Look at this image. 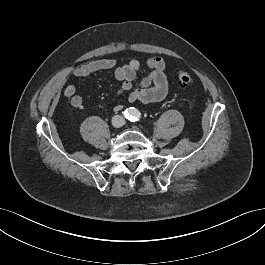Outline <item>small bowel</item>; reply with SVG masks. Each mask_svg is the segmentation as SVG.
<instances>
[{"instance_id":"1","label":"small bowel","mask_w":265,"mask_h":265,"mask_svg":"<svg viewBox=\"0 0 265 265\" xmlns=\"http://www.w3.org/2000/svg\"><path fill=\"white\" fill-rule=\"evenodd\" d=\"M144 66L150 70V73L137 86L134 85V81L138 72L142 69V64L135 59L118 67H115L113 59H98L73 67L71 74L75 77H86L96 72L114 69L115 78L121 83L120 88L116 92L117 96L128 93L127 99L129 102H159L168 93V80L165 73L166 63L162 58L152 57L145 61ZM63 94L70 99V104L74 108L82 107L83 98L76 93L74 85H65ZM122 108V104H117L114 107L116 111H120Z\"/></svg>"}]
</instances>
